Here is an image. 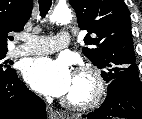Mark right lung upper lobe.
Here are the masks:
<instances>
[{
    "label": "right lung upper lobe",
    "instance_id": "1",
    "mask_svg": "<svg viewBox=\"0 0 142 119\" xmlns=\"http://www.w3.org/2000/svg\"><path fill=\"white\" fill-rule=\"evenodd\" d=\"M32 8L33 0H0V52L8 51V33L23 30Z\"/></svg>",
    "mask_w": 142,
    "mask_h": 119
}]
</instances>
